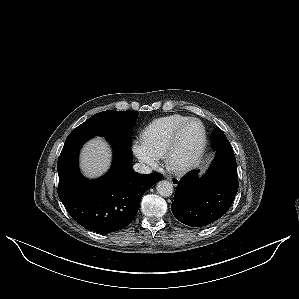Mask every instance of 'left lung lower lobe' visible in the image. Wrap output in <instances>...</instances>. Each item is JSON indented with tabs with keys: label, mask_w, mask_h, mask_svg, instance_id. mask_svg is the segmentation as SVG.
<instances>
[{
	"label": "left lung lower lobe",
	"mask_w": 299,
	"mask_h": 299,
	"mask_svg": "<svg viewBox=\"0 0 299 299\" xmlns=\"http://www.w3.org/2000/svg\"><path fill=\"white\" fill-rule=\"evenodd\" d=\"M215 159L208 172L199 178L195 170L181 180L171 205L180 222L201 227L222 217L238 191L236 159L231 146L212 144Z\"/></svg>",
	"instance_id": "1"
}]
</instances>
